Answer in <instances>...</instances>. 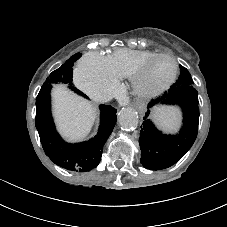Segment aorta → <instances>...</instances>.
Returning <instances> with one entry per match:
<instances>
[{"mask_svg": "<svg viewBox=\"0 0 227 227\" xmlns=\"http://www.w3.org/2000/svg\"><path fill=\"white\" fill-rule=\"evenodd\" d=\"M118 121L124 130H134L138 125V114L133 108H123L119 113Z\"/></svg>", "mask_w": 227, "mask_h": 227, "instance_id": "obj_1", "label": "aorta"}]
</instances>
